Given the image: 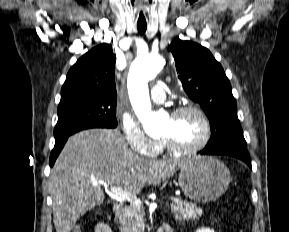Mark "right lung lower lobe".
<instances>
[{"label": "right lung lower lobe", "mask_w": 289, "mask_h": 232, "mask_svg": "<svg viewBox=\"0 0 289 232\" xmlns=\"http://www.w3.org/2000/svg\"><path fill=\"white\" fill-rule=\"evenodd\" d=\"M69 136L59 139V140H55V146L51 152L50 155V166H53L57 156L59 155L60 151L62 150L64 144L66 143L67 139Z\"/></svg>", "instance_id": "1"}]
</instances>
